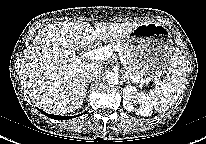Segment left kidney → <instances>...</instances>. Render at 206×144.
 I'll return each instance as SVG.
<instances>
[{
  "label": "left kidney",
  "instance_id": "obj_1",
  "mask_svg": "<svg viewBox=\"0 0 206 144\" xmlns=\"http://www.w3.org/2000/svg\"><path fill=\"white\" fill-rule=\"evenodd\" d=\"M138 102L139 107L134 108L133 103ZM123 106L127 111H134L136 115L151 116L153 105L149 100V96L145 93H138L137 89L132 86H126L123 89Z\"/></svg>",
  "mask_w": 206,
  "mask_h": 144
}]
</instances>
